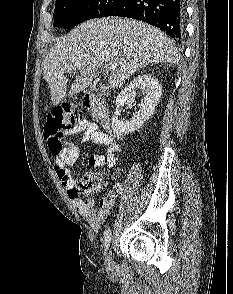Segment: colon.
<instances>
[{
	"label": "colon",
	"mask_w": 233,
	"mask_h": 294,
	"mask_svg": "<svg viewBox=\"0 0 233 294\" xmlns=\"http://www.w3.org/2000/svg\"><path fill=\"white\" fill-rule=\"evenodd\" d=\"M83 120L82 113L74 106L63 104L53 108L44 124V139L50 152L58 159L65 151V135ZM102 187V177L99 174L88 173L78 181L77 193H95Z\"/></svg>",
	"instance_id": "1"
}]
</instances>
